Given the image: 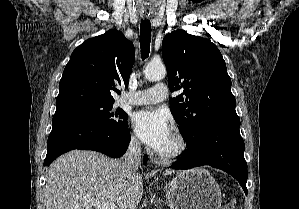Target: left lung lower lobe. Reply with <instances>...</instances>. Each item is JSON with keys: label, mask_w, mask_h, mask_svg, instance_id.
Segmentation results:
<instances>
[{"label": "left lung lower lobe", "mask_w": 299, "mask_h": 209, "mask_svg": "<svg viewBox=\"0 0 299 209\" xmlns=\"http://www.w3.org/2000/svg\"><path fill=\"white\" fill-rule=\"evenodd\" d=\"M239 127L240 119L237 114L212 120L198 135L185 140L188 149L171 168L190 169L210 165L232 175L247 195L245 145Z\"/></svg>", "instance_id": "obj_1"}]
</instances>
